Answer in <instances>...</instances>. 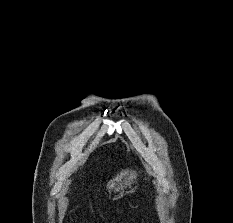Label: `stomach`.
<instances>
[{"mask_svg":"<svg viewBox=\"0 0 233 223\" xmlns=\"http://www.w3.org/2000/svg\"><path fill=\"white\" fill-rule=\"evenodd\" d=\"M140 171L138 169H132V167H126V169H121L119 173H116L115 177L106 181L104 187L107 189L108 193H117V191H122L131 183H135V179H138Z\"/></svg>","mask_w":233,"mask_h":223,"instance_id":"obj_1","label":"stomach"}]
</instances>
